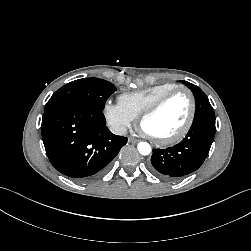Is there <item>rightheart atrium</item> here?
<instances>
[{
  "label": "right heart atrium",
  "instance_id": "1",
  "mask_svg": "<svg viewBox=\"0 0 251 251\" xmlns=\"http://www.w3.org/2000/svg\"><path fill=\"white\" fill-rule=\"evenodd\" d=\"M103 113L108 125L118 134L124 133L134 121L119 103L106 102Z\"/></svg>",
  "mask_w": 251,
  "mask_h": 251
}]
</instances>
